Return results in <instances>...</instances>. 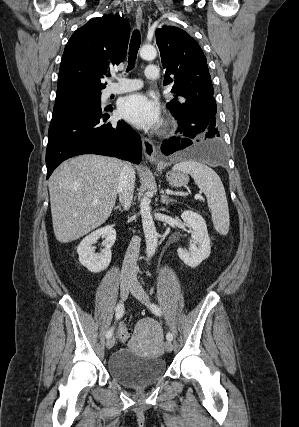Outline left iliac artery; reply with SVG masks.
<instances>
[{"instance_id": "left-iliac-artery-1", "label": "left iliac artery", "mask_w": 299, "mask_h": 427, "mask_svg": "<svg viewBox=\"0 0 299 427\" xmlns=\"http://www.w3.org/2000/svg\"><path fill=\"white\" fill-rule=\"evenodd\" d=\"M150 310L157 316L161 315V309L156 305V304H150ZM167 340L172 341L173 340V335L168 332L166 335Z\"/></svg>"}]
</instances>
